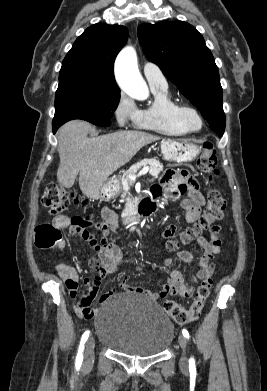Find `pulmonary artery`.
<instances>
[{"instance_id": "pulmonary-artery-1", "label": "pulmonary artery", "mask_w": 267, "mask_h": 391, "mask_svg": "<svg viewBox=\"0 0 267 391\" xmlns=\"http://www.w3.org/2000/svg\"><path fill=\"white\" fill-rule=\"evenodd\" d=\"M143 73L150 87H167L166 78L156 65L144 63Z\"/></svg>"}]
</instances>
